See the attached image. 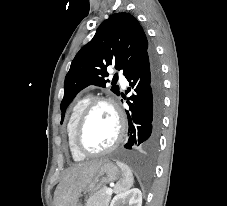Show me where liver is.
Returning a JSON list of instances; mask_svg holds the SVG:
<instances>
[{
  "label": "liver",
  "instance_id": "obj_1",
  "mask_svg": "<svg viewBox=\"0 0 227 206\" xmlns=\"http://www.w3.org/2000/svg\"><path fill=\"white\" fill-rule=\"evenodd\" d=\"M104 161L79 163L67 169L55 190V206H76L81 192Z\"/></svg>",
  "mask_w": 227,
  "mask_h": 206
}]
</instances>
